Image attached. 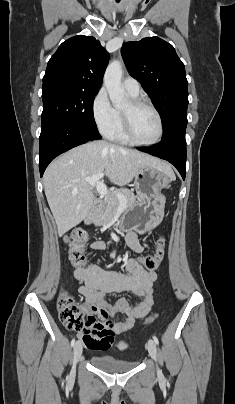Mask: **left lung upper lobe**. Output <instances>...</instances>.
<instances>
[{"instance_id":"obj_1","label":"left lung upper lobe","mask_w":235,"mask_h":404,"mask_svg":"<svg viewBox=\"0 0 235 404\" xmlns=\"http://www.w3.org/2000/svg\"><path fill=\"white\" fill-rule=\"evenodd\" d=\"M121 54L130 75L141 83L162 116V140L185 135L188 82L174 47L158 37H148L125 43Z\"/></svg>"}]
</instances>
